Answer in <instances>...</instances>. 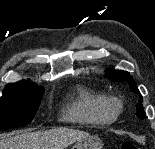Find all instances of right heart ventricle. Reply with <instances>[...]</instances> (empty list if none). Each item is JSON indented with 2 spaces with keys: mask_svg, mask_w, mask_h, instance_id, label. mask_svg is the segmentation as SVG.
Instances as JSON below:
<instances>
[{
  "mask_svg": "<svg viewBox=\"0 0 155 149\" xmlns=\"http://www.w3.org/2000/svg\"><path fill=\"white\" fill-rule=\"evenodd\" d=\"M105 96L80 86L74 97L62 111V120L87 126H108L116 118L104 108Z\"/></svg>",
  "mask_w": 155,
  "mask_h": 149,
  "instance_id": "e07e8e85",
  "label": "right heart ventricle"
}]
</instances>
